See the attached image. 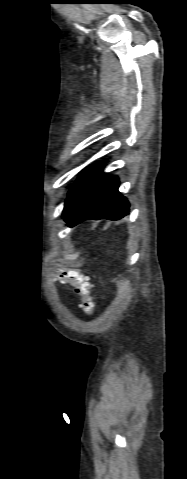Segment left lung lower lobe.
<instances>
[{
  "label": "left lung lower lobe",
  "instance_id": "1",
  "mask_svg": "<svg viewBox=\"0 0 187 479\" xmlns=\"http://www.w3.org/2000/svg\"><path fill=\"white\" fill-rule=\"evenodd\" d=\"M103 166L84 170L68 192L63 210L68 226L83 220H119L129 214V202L118 191L117 176H107Z\"/></svg>",
  "mask_w": 187,
  "mask_h": 479
}]
</instances>
